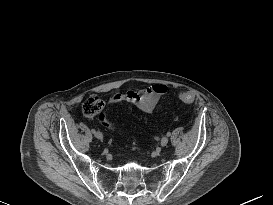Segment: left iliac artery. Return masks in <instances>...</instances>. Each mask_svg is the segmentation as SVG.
<instances>
[{
  "mask_svg": "<svg viewBox=\"0 0 273 205\" xmlns=\"http://www.w3.org/2000/svg\"><path fill=\"white\" fill-rule=\"evenodd\" d=\"M171 135V132H167V136L169 137Z\"/></svg>",
  "mask_w": 273,
  "mask_h": 205,
  "instance_id": "44dca946",
  "label": "left iliac artery"
}]
</instances>
